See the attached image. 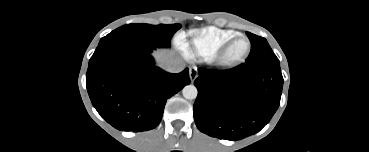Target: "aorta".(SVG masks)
I'll use <instances>...</instances> for the list:
<instances>
[{
    "mask_svg": "<svg viewBox=\"0 0 369 152\" xmlns=\"http://www.w3.org/2000/svg\"><path fill=\"white\" fill-rule=\"evenodd\" d=\"M182 94L184 98L193 100L197 97L198 91L194 85H186L182 90Z\"/></svg>",
    "mask_w": 369,
    "mask_h": 152,
    "instance_id": "762f6f07",
    "label": "aorta"
}]
</instances>
